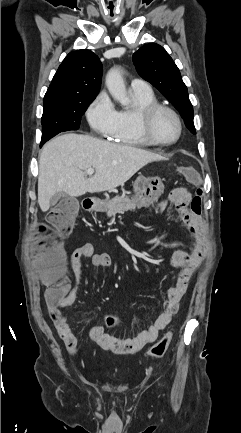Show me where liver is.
I'll use <instances>...</instances> for the list:
<instances>
[{
    "label": "liver",
    "mask_w": 241,
    "mask_h": 433,
    "mask_svg": "<svg viewBox=\"0 0 241 433\" xmlns=\"http://www.w3.org/2000/svg\"><path fill=\"white\" fill-rule=\"evenodd\" d=\"M163 157L89 135L64 134L47 142L39 155L38 204L43 212L57 192L71 197L112 190L150 162ZM95 169L86 179L85 171Z\"/></svg>",
    "instance_id": "6515ba94"
}]
</instances>
